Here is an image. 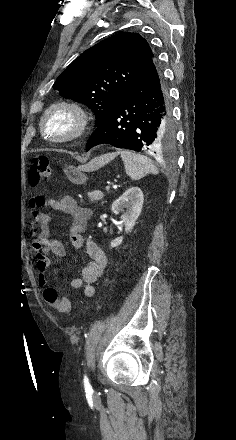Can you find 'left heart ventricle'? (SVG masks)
I'll return each mask as SVG.
<instances>
[{"label": "left heart ventricle", "mask_w": 236, "mask_h": 440, "mask_svg": "<svg viewBox=\"0 0 236 440\" xmlns=\"http://www.w3.org/2000/svg\"><path fill=\"white\" fill-rule=\"evenodd\" d=\"M49 126L55 132H67L71 130L73 122L68 115L57 113L52 117Z\"/></svg>", "instance_id": "obj_1"}]
</instances>
